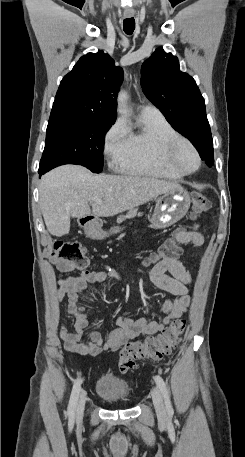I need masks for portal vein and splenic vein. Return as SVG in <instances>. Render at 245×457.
<instances>
[{
	"label": "portal vein and splenic vein",
	"instance_id": "18ae733b",
	"mask_svg": "<svg viewBox=\"0 0 245 457\" xmlns=\"http://www.w3.org/2000/svg\"><path fill=\"white\" fill-rule=\"evenodd\" d=\"M94 200H95V202H101V204H102V200H101V198H98V196H96V198H94Z\"/></svg>",
	"mask_w": 245,
	"mask_h": 457
}]
</instances>
